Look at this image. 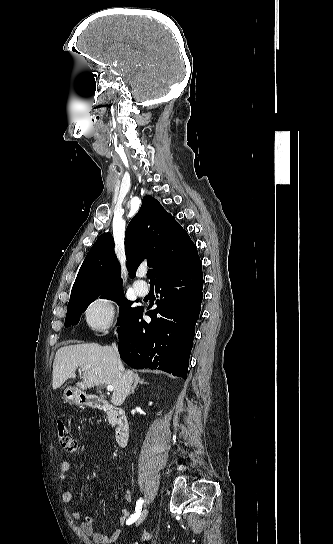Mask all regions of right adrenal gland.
<instances>
[{"mask_svg":"<svg viewBox=\"0 0 333 544\" xmlns=\"http://www.w3.org/2000/svg\"><path fill=\"white\" fill-rule=\"evenodd\" d=\"M134 384L133 386L131 387V390H130V393L129 394H133L134 391H135V388L137 387L138 384H148L147 382H145L144 380H142L138 375L135 376L134 378Z\"/></svg>","mask_w":333,"mask_h":544,"instance_id":"2a0ac1e0","label":"right adrenal gland"}]
</instances>
